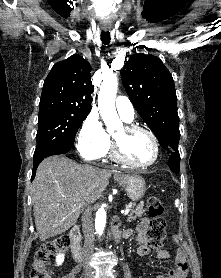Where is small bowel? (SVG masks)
I'll return each mask as SVG.
<instances>
[{"label":"small bowel","instance_id":"obj_1","mask_svg":"<svg viewBox=\"0 0 221 278\" xmlns=\"http://www.w3.org/2000/svg\"><path fill=\"white\" fill-rule=\"evenodd\" d=\"M149 226V220L147 218H143L139 224L137 225L136 229L134 230L136 235V240L139 243L137 248V254L140 256H146L149 254L150 250L147 246V230ZM127 235H130L131 232H126ZM156 256L160 260H168L170 255L167 250L160 249L157 250ZM176 267L175 270L170 274L159 275L156 278H186L187 274V263L184 253L177 252L175 257ZM78 273L77 269H74L70 274L63 276L61 278H74V276Z\"/></svg>","mask_w":221,"mask_h":278}]
</instances>
